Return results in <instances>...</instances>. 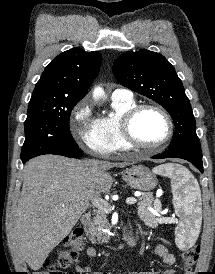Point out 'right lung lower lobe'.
<instances>
[{
	"label": "right lung lower lobe",
	"instance_id": "98d812e1",
	"mask_svg": "<svg viewBox=\"0 0 215 274\" xmlns=\"http://www.w3.org/2000/svg\"><path fill=\"white\" fill-rule=\"evenodd\" d=\"M52 154L62 155V156H66V157H80L82 155V151L77 147V148H73V149L58 151V152H55ZM28 160H29V158H24V159H22V162L25 163Z\"/></svg>",
	"mask_w": 215,
	"mask_h": 274
}]
</instances>
